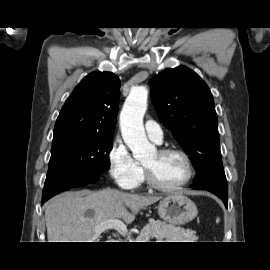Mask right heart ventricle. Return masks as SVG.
Wrapping results in <instances>:
<instances>
[{
  "mask_svg": "<svg viewBox=\"0 0 270 270\" xmlns=\"http://www.w3.org/2000/svg\"><path fill=\"white\" fill-rule=\"evenodd\" d=\"M142 181H143V175L141 176L138 185L141 184Z\"/></svg>",
  "mask_w": 270,
  "mask_h": 270,
  "instance_id": "e07e8e85",
  "label": "right heart ventricle"
}]
</instances>
